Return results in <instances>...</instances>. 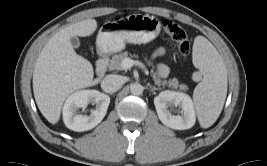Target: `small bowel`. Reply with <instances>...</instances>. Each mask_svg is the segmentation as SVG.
<instances>
[{
  "label": "small bowel",
  "mask_w": 267,
  "mask_h": 166,
  "mask_svg": "<svg viewBox=\"0 0 267 166\" xmlns=\"http://www.w3.org/2000/svg\"><path fill=\"white\" fill-rule=\"evenodd\" d=\"M164 53V49L163 48H159L156 53L154 54V57L156 56H159V55H162ZM157 73L159 76L161 77H165L168 73V67L164 64H160L158 67H157Z\"/></svg>",
  "instance_id": "1"
}]
</instances>
